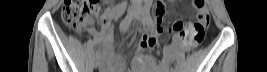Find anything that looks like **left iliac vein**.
<instances>
[{
    "label": "left iliac vein",
    "mask_w": 267,
    "mask_h": 72,
    "mask_svg": "<svg viewBox=\"0 0 267 72\" xmlns=\"http://www.w3.org/2000/svg\"><path fill=\"white\" fill-rule=\"evenodd\" d=\"M138 17L143 24H146V15L144 7L138 10ZM172 72H175V70H172Z\"/></svg>",
    "instance_id": "left-iliac-vein-1"
}]
</instances>
